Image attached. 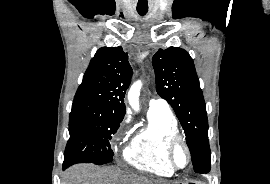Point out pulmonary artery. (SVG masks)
<instances>
[{
    "instance_id": "e3ab8cb5",
    "label": "pulmonary artery",
    "mask_w": 270,
    "mask_h": 184,
    "mask_svg": "<svg viewBox=\"0 0 270 184\" xmlns=\"http://www.w3.org/2000/svg\"><path fill=\"white\" fill-rule=\"evenodd\" d=\"M151 108H168V104L162 99H151L149 101V109Z\"/></svg>"
}]
</instances>
